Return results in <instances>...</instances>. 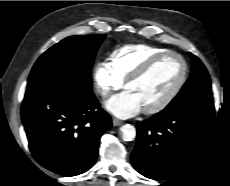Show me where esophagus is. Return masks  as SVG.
Returning a JSON list of instances; mask_svg holds the SVG:
<instances>
[{"label":"esophagus","instance_id":"34e87169","mask_svg":"<svg viewBox=\"0 0 230 186\" xmlns=\"http://www.w3.org/2000/svg\"><path fill=\"white\" fill-rule=\"evenodd\" d=\"M112 124H113V126H120L122 124V121H120L118 119H113Z\"/></svg>","mask_w":230,"mask_h":186}]
</instances>
